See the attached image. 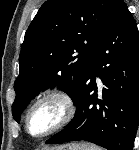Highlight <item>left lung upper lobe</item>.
Instances as JSON below:
<instances>
[{
	"label": "left lung upper lobe",
	"instance_id": "1",
	"mask_svg": "<svg viewBox=\"0 0 139 150\" xmlns=\"http://www.w3.org/2000/svg\"><path fill=\"white\" fill-rule=\"evenodd\" d=\"M115 0H48L25 33L15 80L13 118L41 91L58 87L73 99L108 24Z\"/></svg>",
	"mask_w": 139,
	"mask_h": 150
}]
</instances>
